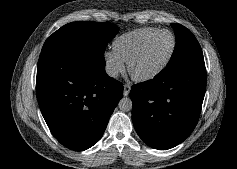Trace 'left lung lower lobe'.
I'll use <instances>...</instances> for the list:
<instances>
[{
  "mask_svg": "<svg viewBox=\"0 0 237 169\" xmlns=\"http://www.w3.org/2000/svg\"><path fill=\"white\" fill-rule=\"evenodd\" d=\"M204 62L188 64L132 86V120L139 137L150 147L166 150L194 130L205 95Z\"/></svg>",
  "mask_w": 237,
  "mask_h": 169,
  "instance_id": "left-lung-lower-lobe-1",
  "label": "left lung lower lobe"
}]
</instances>
